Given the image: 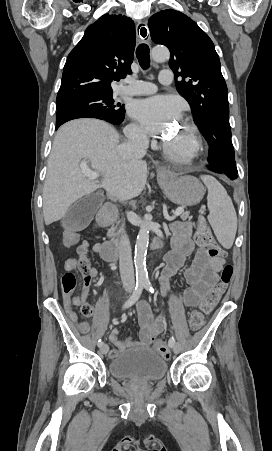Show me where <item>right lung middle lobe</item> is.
<instances>
[{
    "label": "right lung middle lobe",
    "instance_id": "dd1d6c3e",
    "mask_svg": "<svg viewBox=\"0 0 272 451\" xmlns=\"http://www.w3.org/2000/svg\"><path fill=\"white\" fill-rule=\"evenodd\" d=\"M56 109V123L75 116H92L119 123L125 113L124 106L115 103L112 94L57 99Z\"/></svg>",
    "mask_w": 272,
    "mask_h": 451
}]
</instances>
